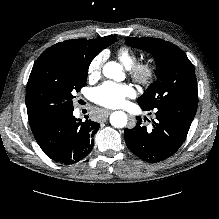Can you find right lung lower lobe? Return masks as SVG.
I'll list each match as a JSON object with an SVG mask.
<instances>
[{"label": "right lung lower lobe", "instance_id": "obj_1", "mask_svg": "<svg viewBox=\"0 0 219 219\" xmlns=\"http://www.w3.org/2000/svg\"><path fill=\"white\" fill-rule=\"evenodd\" d=\"M73 109L31 126L44 153L56 162L73 164L86 157L94 146L93 135L100 124L86 116L85 121L73 116Z\"/></svg>", "mask_w": 219, "mask_h": 219}]
</instances>
